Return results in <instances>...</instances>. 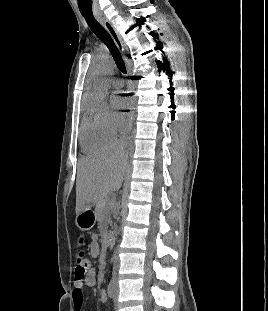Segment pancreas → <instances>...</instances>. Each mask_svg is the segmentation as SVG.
<instances>
[{
    "instance_id": "cf45deb5",
    "label": "pancreas",
    "mask_w": 268,
    "mask_h": 311,
    "mask_svg": "<svg viewBox=\"0 0 268 311\" xmlns=\"http://www.w3.org/2000/svg\"><path fill=\"white\" fill-rule=\"evenodd\" d=\"M113 208V202L108 199L99 200L96 203L95 216L99 224L103 227V234H106L110 218V211Z\"/></svg>"
}]
</instances>
